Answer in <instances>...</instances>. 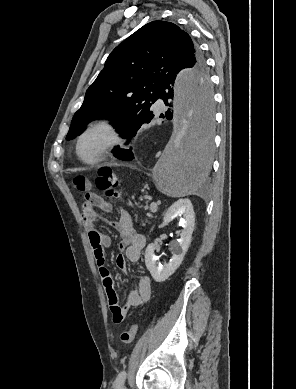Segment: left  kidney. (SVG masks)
Segmentation results:
<instances>
[{"mask_svg": "<svg viewBox=\"0 0 296 389\" xmlns=\"http://www.w3.org/2000/svg\"><path fill=\"white\" fill-rule=\"evenodd\" d=\"M183 217V231L180 239L171 246L172 257L168 263L163 265L158 264L155 250L156 244H149L145 251V264L150 271L151 276L156 282H164L167 280L181 265L183 258L190 246L192 233L195 225V215L192 203L189 199H179L176 201L164 215V224H169L176 217Z\"/></svg>", "mask_w": 296, "mask_h": 389, "instance_id": "left-kidney-1", "label": "left kidney"}]
</instances>
